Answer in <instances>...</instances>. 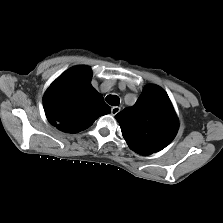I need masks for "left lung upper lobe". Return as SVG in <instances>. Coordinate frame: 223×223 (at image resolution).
Masks as SVG:
<instances>
[{
  "instance_id": "obj_1",
  "label": "left lung upper lobe",
  "mask_w": 223,
  "mask_h": 223,
  "mask_svg": "<svg viewBox=\"0 0 223 223\" xmlns=\"http://www.w3.org/2000/svg\"><path fill=\"white\" fill-rule=\"evenodd\" d=\"M116 119L129 147L141 155L165 148L178 130L170 99L156 85L145 86L135 105L119 112Z\"/></svg>"
}]
</instances>
